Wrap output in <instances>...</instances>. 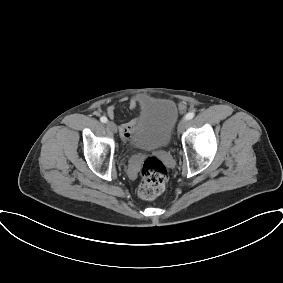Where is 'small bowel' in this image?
<instances>
[{
    "label": "small bowel",
    "instance_id": "small-bowel-1",
    "mask_svg": "<svg viewBox=\"0 0 283 283\" xmlns=\"http://www.w3.org/2000/svg\"><path fill=\"white\" fill-rule=\"evenodd\" d=\"M146 102H147V100L144 97L136 96V97H132L128 100V106L131 110H134L138 106L146 104ZM179 109H180L181 112H184L186 107H185V105L181 104L179 106ZM106 113L110 118H113L114 115H115V106L114 105L108 106ZM138 124H139V119H132L128 122L120 124L119 125V131H120L121 137L125 141L129 142L131 137H132L133 132L137 129Z\"/></svg>",
    "mask_w": 283,
    "mask_h": 283
}]
</instances>
